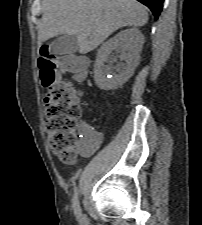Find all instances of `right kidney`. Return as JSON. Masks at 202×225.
<instances>
[{"mask_svg": "<svg viewBox=\"0 0 202 225\" xmlns=\"http://www.w3.org/2000/svg\"><path fill=\"white\" fill-rule=\"evenodd\" d=\"M144 37L137 28L120 31L112 39L102 44L94 64V80L103 90L122 86L133 74L139 63ZM117 50L120 55H110ZM117 58L125 63L117 62ZM105 63H109L105 65ZM116 71V72H114Z\"/></svg>", "mask_w": 202, "mask_h": 225, "instance_id": "obj_1", "label": "right kidney"}]
</instances>
